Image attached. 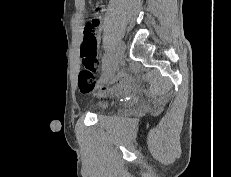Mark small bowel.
<instances>
[{
    "label": "small bowel",
    "mask_w": 231,
    "mask_h": 177,
    "mask_svg": "<svg viewBox=\"0 0 231 177\" xmlns=\"http://www.w3.org/2000/svg\"><path fill=\"white\" fill-rule=\"evenodd\" d=\"M94 28H95V31L97 33V45H98V41H99V36H98V33L101 31L102 29V17L100 15V13H97L93 18H92V21H91V24ZM87 25L84 26V29H83V34H84V30H85V27ZM115 92H123L126 90V86L124 84H118L117 86L114 87L113 89Z\"/></svg>",
    "instance_id": "small-bowel-1"
}]
</instances>
